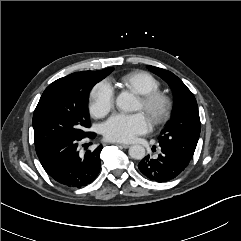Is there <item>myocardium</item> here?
I'll use <instances>...</instances> for the list:
<instances>
[{
  "instance_id": "1",
  "label": "myocardium",
  "mask_w": 241,
  "mask_h": 241,
  "mask_svg": "<svg viewBox=\"0 0 241 241\" xmlns=\"http://www.w3.org/2000/svg\"><path fill=\"white\" fill-rule=\"evenodd\" d=\"M142 110L149 116L154 125H162L171 116L173 102L169 95L161 91H154L139 95Z\"/></svg>"
}]
</instances>
